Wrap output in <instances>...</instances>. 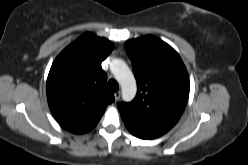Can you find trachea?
I'll return each mask as SVG.
<instances>
[{
    "label": "trachea",
    "instance_id": "trachea-1",
    "mask_svg": "<svg viewBox=\"0 0 248 165\" xmlns=\"http://www.w3.org/2000/svg\"><path fill=\"white\" fill-rule=\"evenodd\" d=\"M107 87L111 92H116L119 89V85L117 81L114 79L108 81Z\"/></svg>",
    "mask_w": 248,
    "mask_h": 165
}]
</instances>
